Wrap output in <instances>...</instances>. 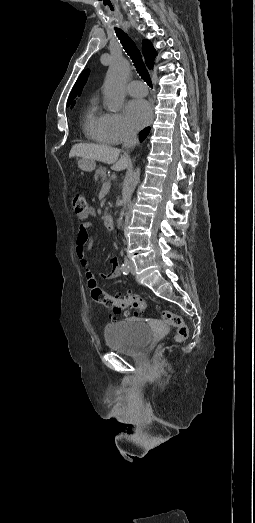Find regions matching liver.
<instances>
[{"instance_id": "liver-1", "label": "liver", "mask_w": 255, "mask_h": 523, "mask_svg": "<svg viewBox=\"0 0 255 523\" xmlns=\"http://www.w3.org/2000/svg\"><path fill=\"white\" fill-rule=\"evenodd\" d=\"M120 150L117 148H109V146H98V144H75L70 150L69 158L78 156V158H85V160H97L103 164H113L111 170L121 172L128 168L130 162L127 158H120L118 160Z\"/></svg>"}]
</instances>
